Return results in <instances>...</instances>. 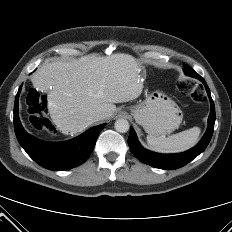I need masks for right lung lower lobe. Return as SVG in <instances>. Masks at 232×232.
I'll list each match as a JSON object with an SVG mask.
<instances>
[{
    "mask_svg": "<svg viewBox=\"0 0 232 232\" xmlns=\"http://www.w3.org/2000/svg\"><path fill=\"white\" fill-rule=\"evenodd\" d=\"M21 87L15 98L14 129L18 142L27 154L40 166L50 170H66L79 166L91 154L97 137L105 124L93 127L82 135L64 142H44L28 134L18 117V100Z\"/></svg>",
    "mask_w": 232,
    "mask_h": 232,
    "instance_id": "obj_1",
    "label": "right lung lower lobe"
}]
</instances>
